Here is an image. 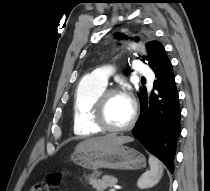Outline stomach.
<instances>
[{
  "label": "stomach",
  "mask_w": 210,
  "mask_h": 191,
  "mask_svg": "<svg viewBox=\"0 0 210 191\" xmlns=\"http://www.w3.org/2000/svg\"><path fill=\"white\" fill-rule=\"evenodd\" d=\"M71 160L88 170H139L146 166L145 157L133 148L116 145L93 150H75Z\"/></svg>",
  "instance_id": "0dacf381"
}]
</instances>
